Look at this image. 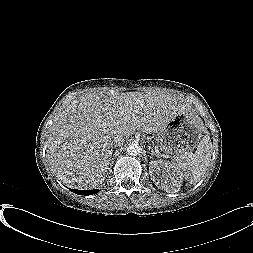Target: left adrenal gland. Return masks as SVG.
I'll return each mask as SVG.
<instances>
[{"label":"left adrenal gland","mask_w":253,"mask_h":253,"mask_svg":"<svg viewBox=\"0 0 253 253\" xmlns=\"http://www.w3.org/2000/svg\"><path fill=\"white\" fill-rule=\"evenodd\" d=\"M149 149H151V155H154V151L151 147H149Z\"/></svg>","instance_id":"obj_1"}]
</instances>
